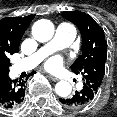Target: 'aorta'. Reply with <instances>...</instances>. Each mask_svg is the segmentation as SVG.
Here are the masks:
<instances>
[{"label":"aorta","instance_id":"obj_1","mask_svg":"<svg viewBox=\"0 0 117 117\" xmlns=\"http://www.w3.org/2000/svg\"><path fill=\"white\" fill-rule=\"evenodd\" d=\"M32 35L39 42H47L54 35V25L51 21L41 19L34 23ZM56 94L62 98L68 97L72 92V86L67 81H60L55 86Z\"/></svg>","mask_w":117,"mask_h":117}]
</instances>
